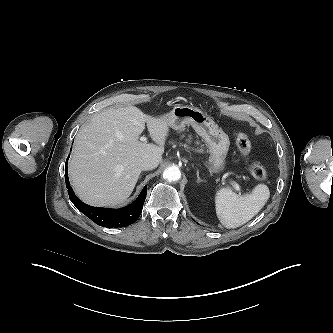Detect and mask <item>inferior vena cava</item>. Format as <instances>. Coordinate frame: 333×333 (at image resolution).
Here are the masks:
<instances>
[{
	"label": "inferior vena cava",
	"mask_w": 333,
	"mask_h": 333,
	"mask_svg": "<svg viewBox=\"0 0 333 333\" xmlns=\"http://www.w3.org/2000/svg\"><path fill=\"white\" fill-rule=\"evenodd\" d=\"M161 161V157H146L141 161V169L142 170H151L158 166Z\"/></svg>",
	"instance_id": "obj_1"
}]
</instances>
